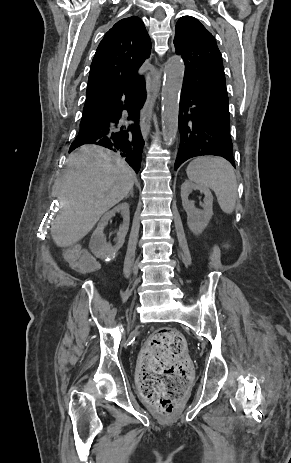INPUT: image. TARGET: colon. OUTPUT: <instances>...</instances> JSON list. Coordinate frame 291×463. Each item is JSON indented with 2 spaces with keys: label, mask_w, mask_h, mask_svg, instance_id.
<instances>
[{
  "label": "colon",
  "mask_w": 291,
  "mask_h": 463,
  "mask_svg": "<svg viewBox=\"0 0 291 463\" xmlns=\"http://www.w3.org/2000/svg\"><path fill=\"white\" fill-rule=\"evenodd\" d=\"M65 259L78 272H90L97 263L79 246L65 252ZM187 342L171 328L157 330L140 355L139 382L143 398L156 406L164 417L174 414L178 400L190 382V364L186 359Z\"/></svg>",
  "instance_id": "5ec220e1"
}]
</instances>
